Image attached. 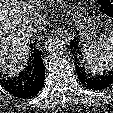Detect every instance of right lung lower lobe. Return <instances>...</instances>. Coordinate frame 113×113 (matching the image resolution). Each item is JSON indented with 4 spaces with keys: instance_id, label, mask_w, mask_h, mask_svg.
Segmentation results:
<instances>
[{
    "instance_id": "obj_1",
    "label": "right lung lower lobe",
    "mask_w": 113,
    "mask_h": 113,
    "mask_svg": "<svg viewBox=\"0 0 113 113\" xmlns=\"http://www.w3.org/2000/svg\"><path fill=\"white\" fill-rule=\"evenodd\" d=\"M31 50L28 66L18 77L5 79L0 74V84L15 97L32 98L39 93L44 84L45 67L42 51L33 47Z\"/></svg>"
}]
</instances>
